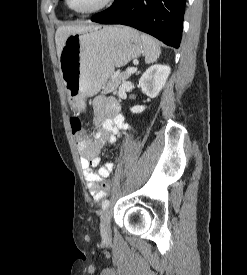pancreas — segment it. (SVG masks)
<instances>
[{
  "mask_svg": "<svg viewBox=\"0 0 247 275\" xmlns=\"http://www.w3.org/2000/svg\"><path fill=\"white\" fill-rule=\"evenodd\" d=\"M130 76L131 74L127 72L118 73L106 84V86L103 88V93H116V90L121 82L127 80Z\"/></svg>",
  "mask_w": 247,
  "mask_h": 275,
  "instance_id": "pancreas-1",
  "label": "pancreas"
}]
</instances>
